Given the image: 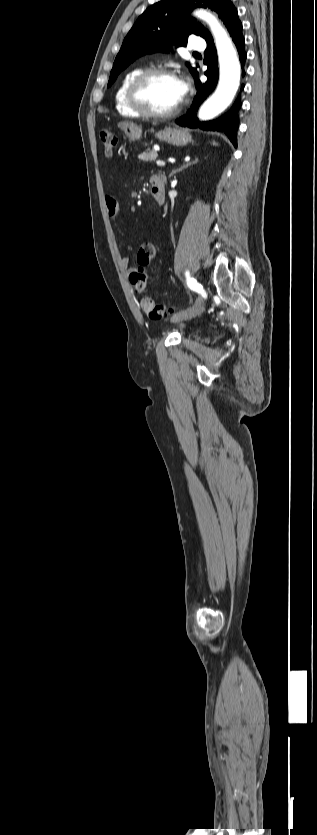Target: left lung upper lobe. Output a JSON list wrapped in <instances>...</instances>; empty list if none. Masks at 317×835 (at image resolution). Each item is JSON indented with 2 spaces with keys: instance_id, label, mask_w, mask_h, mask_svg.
<instances>
[{
  "instance_id": "1",
  "label": "left lung upper lobe",
  "mask_w": 317,
  "mask_h": 835,
  "mask_svg": "<svg viewBox=\"0 0 317 835\" xmlns=\"http://www.w3.org/2000/svg\"><path fill=\"white\" fill-rule=\"evenodd\" d=\"M230 0H162L150 6L139 16L127 36L114 61L108 87L113 84L119 73L138 57L154 53L169 52L171 46H184L190 34H196L208 40L211 34L201 24L195 23L187 13L196 7L211 8L219 17L227 20L224 12ZM189 66V64H188ZM192 75L196 69L190 68Z\"/></svg>"
}]
</instances>
